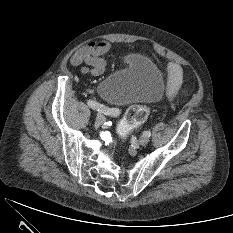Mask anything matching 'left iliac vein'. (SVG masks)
I'll return each instance as SVG.
<instances>
[{"instance_id":"left-iliac-vein-1","label":"left iliac vein","mask_w":233,"mask_h":233,"mask_svg":"<svg viewBox=\"0 0 233 233\" xmlns=\"http://www.w3.org/2000/svg\"><path fill=\"white\" fill-rule=\"evenodd\" d=\"M138 142H139L140 145H143V146H144V145L148 144V142H149V137L146 136V135H143V136H141V137L139 138Z\"/></svg>"}]
</instances>
